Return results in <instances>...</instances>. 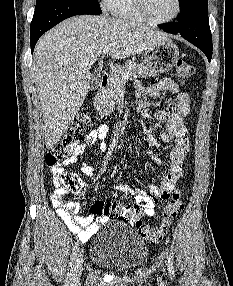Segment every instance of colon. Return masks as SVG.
Returning a JSON list of instances; mask_svg holds the SVG:
<instances>
[{"label":"colon","mask_w":233,"mask_h":286,"mask_svg":"<svg viewBox=\"0 0 233 286\" xmlns=\"http://www.w3.org/2000/svg\"><path fill=\"white\" fill-rule=\"evenodd\" d=\"M195 73V67L180 60L176 65V75L184 81ZM93 119L86 108L81 109L74 117L71 125L63 134L60 141L52 147L45 156L47 166L58 177L62 188L75 193L85 191V184L72 172H66L60 167L62 160L73 154L78 142L84 138L85 133L92 126ZM184 207L183 196L180 190H175L171 199L166 203L162 212V222L159 227H149L141 219V210L136 206L130 209L132 224L139 235L152 244H157L165 237L172 221L182 212Z\"/></svg>","instance_id":"1"}]
</instances>
